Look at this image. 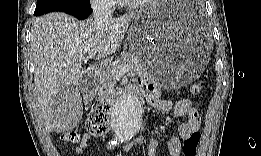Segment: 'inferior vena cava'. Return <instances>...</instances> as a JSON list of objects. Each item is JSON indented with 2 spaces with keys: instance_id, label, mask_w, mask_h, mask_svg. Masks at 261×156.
<instances>
[{
  "instance_id": "602c4592",
  "label": "inferior vena cava",
  "mask_w": 261,
  "mask_h": 156,
  "mask_svg": "<svg viewBox=\"0 0 261 156\" xmlns=\"http://www.w3.org/2000/svg\"><path fill=\"white\" fill-rule=\"evenodd\" d=\"M93 21L101 25L112 19V10L106 0H97L92 4Z\"/></svg>"
}]
</instances>
